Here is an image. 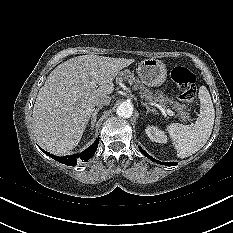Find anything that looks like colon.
Listing matches in <instances>:
<instances>
[{"mask_svg":"<svg viewBox=\"0 0 233 233\" xmlns=\"http://www.w3.org/2000/svg\"><path fill=\"white\" fill-rule=\"evenodd\" d=\"M171 77L179 90V99L183 103L191 104L196 97V77L187 68L178 66L172 70Z\"/></svg>","mask_w":233,"mask_h":233,"instance_id":"1","label":"colon"}]
</instances>
